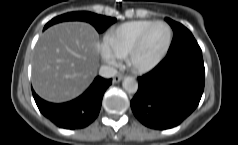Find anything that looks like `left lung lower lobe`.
<instances>
[{"mask_svg":"<svg viewBox=\"0 0 238 145\" xmlns=\"http://www.w3.org/2000/svg\"><path fill=\"white\" fill-rule=\"evenodd\" d=\"M174 40L187 38L190 32L171 21ZM139 88L131 100L135 117L152 129L179 125L198 106L204 91L205 68L202 51L195 42L169 50L152 71L138 78Z\"/></svg>","mask_w":238,"mask_h":145,"instance_id":"left-lung-lower-lobe-1","label":"left lung lower lobe"}]
</instances>
